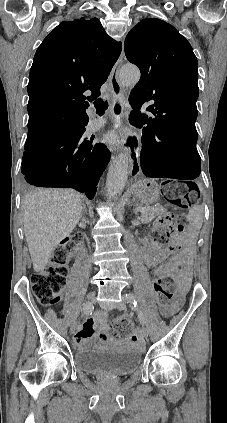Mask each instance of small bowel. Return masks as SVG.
<instances>
[{"label": "small bowel", "instance_id": "obj_1", "mask_svg": "<svg viewBox=\"0 0 227 423\" xmlns=\"http://www.w3.org/2000/svg\"><path fill=\"white\" fill-rule=\"evenodd\" d=\"M168 254V250L163 248L159 243H153L144 253V260L148 267L154 269L156 276L169 275L174 271L179 273V282L181 286H186L189 280V270L187 267V254H181L172 259L168 264H161ZM183 300L177 297L174 301L167 304H160L161 314L165 317H170L175 314L181 307ZM99 328L104 331L109 329L107 323V313L105 311H96L93 315L89 316L84 322L82 328L75 336V343L78 347L85 346L94 336L95 330ZM103 342L110 343L113 338L104 332L101 335ZM140 339V333L134 332L130 337V342H137Z\"/></svg>", "mask_w": 227, "mask_h": 423}]
</instances>
